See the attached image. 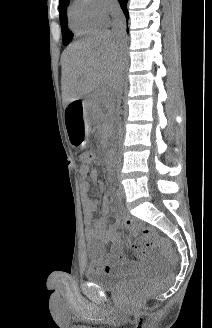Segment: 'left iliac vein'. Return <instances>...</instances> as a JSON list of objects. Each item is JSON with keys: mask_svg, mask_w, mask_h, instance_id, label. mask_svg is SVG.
Returning <instances> with one entry per match:
<instances>
[{"mask_svg": "<svg viewBox=\"0 0 212 328\" xmlns=\"http://www.w3.org/2000/svg\"><path fill=\"white\" fill-rule=\"evenodd\" d=\"M120 192H121V195L123 196L124 195V189L121 185H120Z\"/></svg>", "mask_w": 212, "mask_h": 328, "instance_id": "4c4485c4", "label": "left iliac vein"}]
</instances>
